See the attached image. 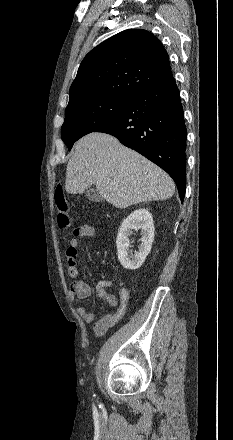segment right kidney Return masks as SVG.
<instances>
[{"mask_svg":"<svg viewBox=\"0 0 233 440\" xmlns=\"http://www.w3.org/2000/svg\"><path fill=\"white\" fill-rule=\"evenodd\" d=\"M132 230H141L142 238L139 251L129 255ZM154 223L152 214L144 208L132 212L121 224L117 238L118 260L125 269L135 270L141 267L151 251L154 240Z\"/></svg>","mask_w":233,"mask_h":440,"instance_id":"obj_1","label":"right kidney"}]
</instances>
